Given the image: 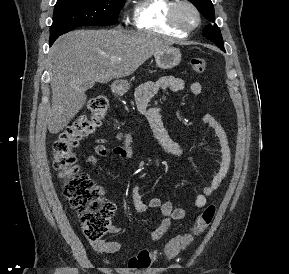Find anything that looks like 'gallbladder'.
I'll list each match as a JSON object with an SVG mask.
<instances>
[{"instance_id": "bac80fb5", "label": "gallbladder", "mask_w": 289, "mask_h": 274, "mask_svg": "<svg viewBox=\"0 0 289 274\" xmlns=\"http://www.w3.org/2000/svg\"><path fill=\"white\" fill-rule=\"evenodd\" d=\"M93 86H94V83H93V84H87V85H86V88L89 89V88H92Z\"/></svg>"}]
</instances>
